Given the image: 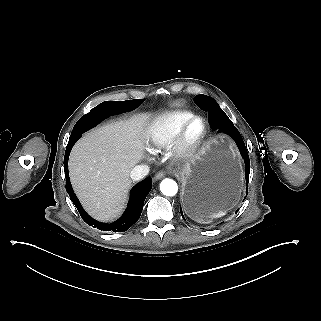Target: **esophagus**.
Wrapping results in <instances>:
<instances>
[{
    "instance_id": "obj_1",
    "label": "esophagus",
    "mask_w": 321,
    "mask_h": 321,
    "mask_svg": "<svg viewBox=\"0 0 321 321\" xmlns=\"http://www.w3.org/2000/svg\"><path fill=\"white\" fill-rule=\"evenodd\" d=\"M164 175H165V172L159 171L155 174L154 178L155 180H160L162 177H164Z\"/></svg>"
}]
</instances>
